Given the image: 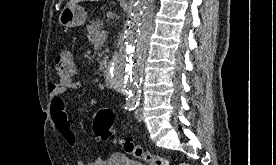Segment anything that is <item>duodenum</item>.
I'll use <instances>...</instances> for the list:
<instances>
[{"label": "duodenum", "instance_id": "obj_1", "mask_svg": "<svg viewBox=\"0 0 276 165\" xmlns=\"http://www.w3.org/2000/svg\"><path fill=\"white\" fill-rule=\"evenodd\" d=\"M104 77H105V80H106L108 83L111 82L110 74H109L108 69H105V70H104Z\"/></svg>", "mask_w": 276, "mask_h": 165}]
</instances>
